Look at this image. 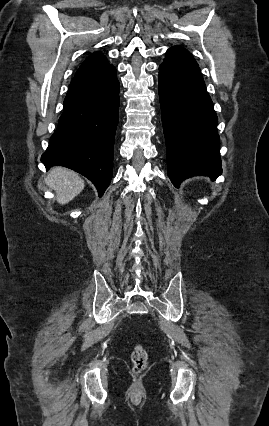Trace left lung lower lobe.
<instances>
[{"mask_svg": "<svg viewBox=\"0 0 269 426\" xmlns=\"http://www.w3.org/2000/svg\"><path fill=\"white\" fill-rule=\"evenodd\" d=\"M161 118L172 183L192 176L216 178L222 172L217 115L199 66L180 46H173L159 67Z\"/></svg>", "mask_w": 269, "mask_h": 426, "instance_id": "1", "label": "left lung lower lobe"}]
</instances>
